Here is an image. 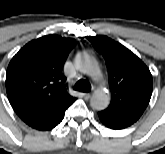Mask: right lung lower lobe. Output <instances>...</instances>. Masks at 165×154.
Returning a JSON list of instances; mask_svg holds the SVG:
<instances>
[{"instance_id": "obj_1", "label": "right lung lower lobe", "mask_w": 165, "mask_h": 154, "mask_svg": "<svg viewBox=\"0 0 165 154\" xmlns=\"http://www.w3.org/2000/svg\"><path fill=\"white\" fill-rule=\"evenodd\" d=\"M76 100L67 95L49 106L30 113L21 119L29 126L38 130H50L57 126L64 118L66 109Z\"/></svg>"}]
</instances>
